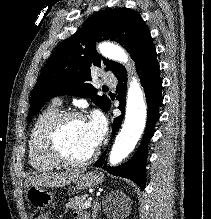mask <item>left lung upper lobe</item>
I'll list each match as a JSON object with an SVG mask.
<instances>
[{
    "mask_svg": "<svg viewBox=\"0 0 211 219\" xmlns=\"http://www.w3.org/2000/svg\"><path fill=\"white\" fill-rule=\"evenodd\" d=\"M149 36L148 27L137 11L115 8L96 13L48 59L31 93L29 121L49 99L59 95L89 97L108 111L109 98L96 95L97 89L89 83L91 69L105 65L106 71L116 75L124 67L100 56L95 50L96 42L116 41L134 58Z\"/></svg>",
    "mask_w": 211,
    "mask_h": 219,
    "instance_id": "5c2ea615",
    "label": "left lung upper lobe"
}]
</instances>
